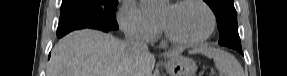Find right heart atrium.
Returning <instances> with one entry per match:
<instances>
[{
  "instance_id": "right-heart-atrium-1",
  "label": "right heart atrium",
  "mask_w": 287,
  "mask_h": 76,
  "mask_svg": "<svg viewBox=\"0 0 287 76\" xmlns=\"http://www.w3.org/2000/svg\"><path fill=\"white\" fill-rule=\"evenodd\" d=\"M119 24L131 37L152 41L161 31L159 21L148 17L134 2H125L119 13Z\"/></svg>"
}]
</instances>
